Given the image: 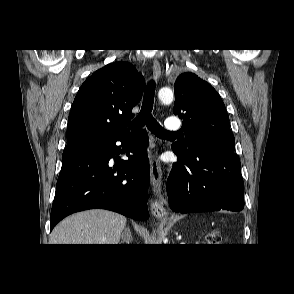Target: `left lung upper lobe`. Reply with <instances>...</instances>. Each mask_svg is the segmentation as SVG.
<instances>
[{
	"mask_svg": "<svg viewBox=\"0 0 294 294\" xmlns=\"http://www.w3.org/2000/svg\"><path fill=\"white\" fill-rule=\"evenodd\" d=\"M173 112L185 122V140L175 142L179 151L193 147L222 148L234 151L235 139L229 126V116L217 91L196 74L186 72L174 84Z\"/></svg>",
	"mask_w": 294,
	"mask_h": 294,
	"instance_id": "5c2ea615",
	"label": "left lung upper lobe"
}]
</instances>
